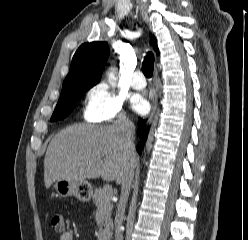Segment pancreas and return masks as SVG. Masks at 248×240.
Returning a JSON list of instances; mask_svg holds the SVG:
<instances>
[{"mask_svg":"<svg viewBox=\"0 0 248 240\" xmlns=\"http://www.w3.org/2000/svg\"><path fill=\"white\" fill-rule=\"evenodd\" d=\"M111 195H107L102 188H96L93 194V202L97 208H102L105 214V229L104 232L108 238L112 237L111 230L113 229V221L111 219V212L113 206L110 203Z\"/></svg>","mask_w":248,"mask_h":240,"instance_id":"pancreas-1","label":"pancreas"}]
</instances>
